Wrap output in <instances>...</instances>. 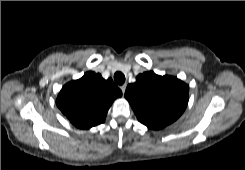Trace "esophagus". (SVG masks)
<instances>
[{
	"label": "esophagus",
	"instance_id": "obj_1",
	"mask_svg": "<svg viewBox=\"0 0 245 170\" xmlns=\"http://www.w3.org/2000/svg\"><path fill=\"white\" fill-rule=\"evenodd\" d=\"M126 87H127V84H123V85L120 87L121 90H122L123 95H124V93H125Z\"/></svg>",
	"mask_w": 245,
	"mask_h": 170
}]
</instances>
